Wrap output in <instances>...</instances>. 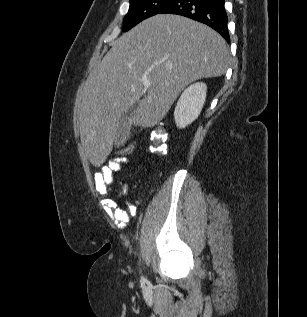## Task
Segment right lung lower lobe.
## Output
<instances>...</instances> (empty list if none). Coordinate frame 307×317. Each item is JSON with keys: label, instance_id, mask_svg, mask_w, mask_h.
I'll return each instance as SVG.
<instances>
[{"label": "right lung lower lobe", "instance_id": "1", "mask_svg": "<svg viewBox=\"0 0 307 317\" xmlns=\"http://www.w3.org/2000/svg\"><path fill=\"white\" fill-rule=\"evenodd\" d=\"M160 14H176L202 22L230 40L224 0H173Z\"/></svg>", "mask_w": 307, "mask_h": 317}]
</instances>
